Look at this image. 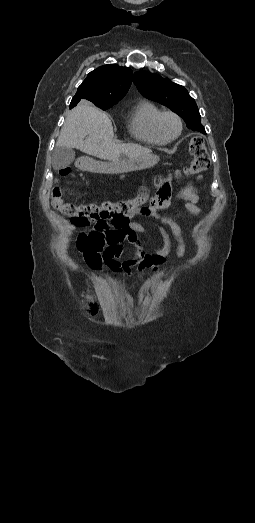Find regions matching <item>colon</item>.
Segmentation results:
<instances>
[{"label": "colon", "mask_w": 255, "mask_h": 523, "mask_svg": "<svg viewBox=\"0 0 255 523\" xmlns=\"http://www.w3.org/2000/svg\"><path fill=\"white\" fill-rule=\"evenodd\" d=\"M189 152L192 161L183 172L187 175L199 174L206 171L210 166V157L207 152L204 140L200 136H192L189 140ZM69 173V169H61L60 176ZM171 177H159L155 181L157 193L155 198L163 199L169 192ZM148 201V193L142 189L131 199L116 202L105 201L100 204H73L63 200V191L56 185L52 189L51 202L53 207L71 218L77 225H91L96 222H107L114 226H121L127 220V215L133 210L143 206Z\"/></svg>", "instance_id": "colon-1"}]
</instances>
